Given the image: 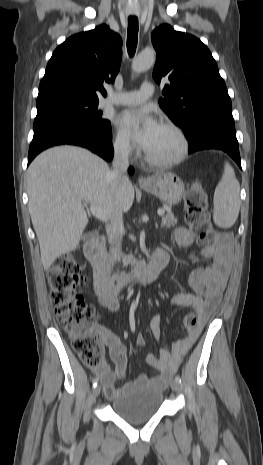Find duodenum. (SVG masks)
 Segmentation results:
<instances>
[{
	"instance_id": "410a0bca",
	"label": "duodenum",
	"mask_w": 263,
	"mask_h": 465,
	"mask_svg": "<svg viewBox=\"0 0 263 465\" xmlns=\"http://www.w3.org/2000/svg\"><path fill=\"white\" fill-rule=\"evenodd\" d=\"M105 237L99 236L87 242L84 254L93 267L94 284L96 290L106 296H116L127 286H145L155 281L166 267L169 255L162 252L142 270L135 273H121L111 275L106 248Z\"/></svg>"
}]
</instances>
